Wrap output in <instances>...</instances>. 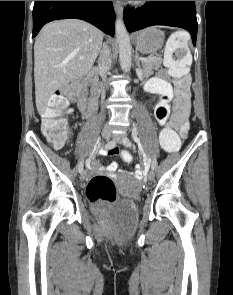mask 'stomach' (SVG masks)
<instances>
[{"label":"stomach","mask_w":233,"mask_h":295,"mask_svg":"<svg viewBox=\"0 0 233 295\" xmlns=\"http://www.w3.org/2000/svg\"><path fill=\"white\" fill-rule=\"evenodd\" d=\"M136 49L142 54H153L163 45L164 33L156 27H149L135 35Z\"/></svg>","instance_id":"stomach-1"}]
</instances>
